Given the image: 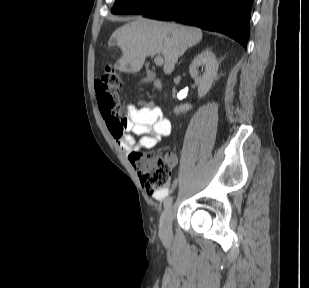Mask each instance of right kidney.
<instances>
[{
	"mask_svg": "<svg viewBox=\"0 0 309 288\" xmlns=\"http://www.w3.org/2000/svg\"><path fill=\"white\" fill-rule=\"evenodd\" d=\"M204 66L205 71L202 76H199V67ZM218 62L214 53L206 49L201 52L192 62L189 68V73L198 85V96L199 98L204 97L212 87L213 81L217 76ZM192 108L190 104L180 105L175 107L174 113L179 114L187 112Z\"/></svg>",
	"mask_w": 309,
	"mask_h": 288,
	"instance_id": "1",
	"label": "right kidney"
}]
</instances>
